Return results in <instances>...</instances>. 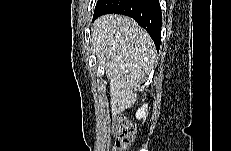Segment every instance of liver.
<instances>
[{
	"label": "liver",
	"instance_id": "6515ba94",
	"mask_svg": "<svg viewBox=\"0 0 231 151\" xmlns=\"http://www.w3.org/2000/svg\"><path fill=\"white\" fill-rule=\"evenodd\" d=\"M91 32L93 53L109 79L112 114H120L136 102L135 86L154 67V43L132 18L123 15L101 16Z\"/></svg>",
	"mask_w": 231,
	"mask_h": 151
}]
</instances>
